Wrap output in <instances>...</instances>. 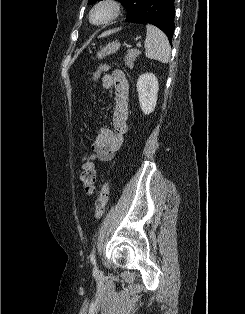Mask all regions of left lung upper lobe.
<instances>
[{"label":"left lung upper lobe","instance_id":"left-lung-upper-lobe-1","mask_svg":"<svg viewBox=\"0 0 245 314\" xmlns=\"http://www.w3.org/2000/svg\"><path fill=\"white\" fill-rule=\"evenodd\" d=\"M100 0H89L88 4H93ZM127 10V18L134 16L142 6L144 0H118Z\"/></svg>","mask_w":245,"mask_h":314}]
</instances>
